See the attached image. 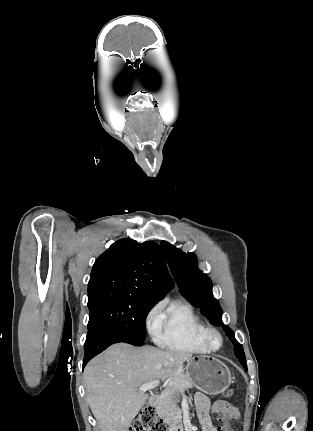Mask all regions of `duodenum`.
<instances>
[{"label":"duodenum","instance_id":"duodenum-1","mask_svg":"<svg viewBox=\"0 0 313 431\" xmlns=\"http://www.w3.org/2000/svg\"><path fill=\"white\" fill-rule=\"evenodd\" d=\"M157 400H158V396L154 395V396L151 398V403H152L153 405H156ZM174 431H181V429H180V428H178V429H174Z\"/></svg>","mask_w":313,"mask_h":431}]
</instances>
